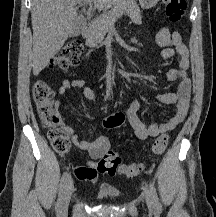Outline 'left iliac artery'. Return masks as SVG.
I'll return each mask as SVG.
<instances>
[{"mask_svg":"<svg viewBox=\"0 0 216 217\" xmlns=\"http://www.w3.org/2000/svg\"><path fill=\"white\" fill-rule=\"evenodd\" d=\"M150 194H151L154 206L158 207L159 206V198H158L156 189L154 187V184L152 182H150Z\"/></svg>","mask_w":216,"mask_h":217,"instance_id":"obj_1","label":"left iliac artery"}]
</instances>
